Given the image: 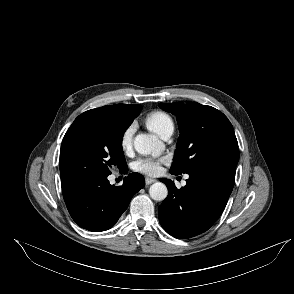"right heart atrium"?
Listing matches in <instances>:
<instances>
[{
  "label": "right heart atrium",
  "mask_w": 294,
  "mask_h": 294,
  "mask_svg": "<svg viewBox=\"0 0 294 294\" xmlns=\"http://www.w3.org/2000/svg\"><path fill=\"white\" fill-rule=\"evenodd\" d=\"M135 132V124H130L122 133L121 139H120V145L124 152H127L132 147L133 142V135Z\"/></svg>",
  "instance_id": "1"
}]
</instances>
